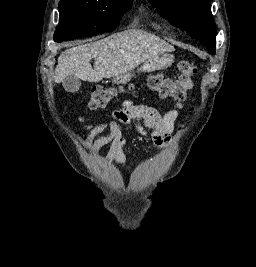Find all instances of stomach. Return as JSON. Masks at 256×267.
I'll use <instances>...</instances> for the list:
<instances>
[{
  "instance_id": "obj_1",
  "label": "stomach",
  "mask_w": 256,
  "mask_h": 267,
  "mask_svg": "<svg viewBox=\"0 0 256 267\" xmlns=\"http://www.w3.org/2000/svg\"><path fill=\"white\" fill-rule=\"evenodd\" d=\"M160 60V62H158ZM157 62H142V67H154L156 70H164L173 64V56L171 54H162L161 58H158Z\"/></svg>"
}]
</instances>
